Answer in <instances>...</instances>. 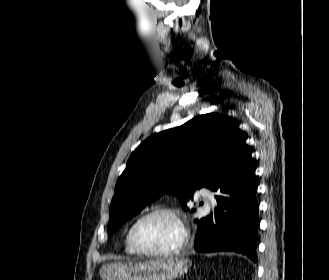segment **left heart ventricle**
<instances>
[{
  "label": "left heart ventricle",
  "instance_id": "b2bd125f",
  "mask_svg": "<svg viewBox=\"0 0 329 280\" xmlns=\"http://www.w3.org/2000/svg\"><path fill=\"white\" fill-rule=\"evenodd\" d=\"M139 244L145 249L162 251L174 247L180 240V230L173 218L159 214L144 220L137 230Z\"/></svg>",
  "mask_w": 329,
  "mask_h": 280
}]
</instances>
